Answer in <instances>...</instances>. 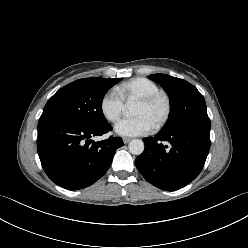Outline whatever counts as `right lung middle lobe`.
I'll list each match as a JSON object with an SVG mask.
<instances>
[{"label": "right lung middle lobe", "instance_id": "obj_1", "mask_svg": "<svg viewBox=\"0 0 248 248\" xmlns=\"http://www.w3.org/2000/svg\"><path fill=\"white\" fill-rule=\"evenodd\" d=\"M123 78H84L59 89L46 103L39 119L65 118L88 126L108 123L102 112L106 92Z\"/></svg>", "mask_w": 248, "mask_h": 248}]
</instances>
